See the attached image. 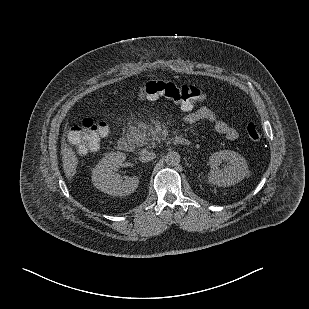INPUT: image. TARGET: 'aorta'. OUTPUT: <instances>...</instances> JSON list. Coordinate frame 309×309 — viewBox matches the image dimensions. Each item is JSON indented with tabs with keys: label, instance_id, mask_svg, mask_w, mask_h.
<instances>
[{
	"label": "aorta",
	"instance_id": "1",
	"mask_svg": "<svg viewBox=\"0 0 309 309\" xmlns=\"http://www.w3.org/2000/svg\"><path fill=\"white\" fill-rule=\"evenodd\" d=\"M181 157L178 152L170 151L165 156V162L169 166H176L180 163Z\"/></svg>",
	"mask_w": 309,
	"mask_h": 309
}]
</instances>
